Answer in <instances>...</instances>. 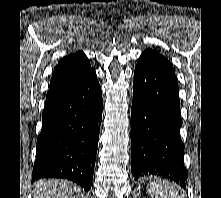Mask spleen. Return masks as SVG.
Here are the masks:
<instances>
[{
  "label": "spleen",
  "mask_w": 221,
  "mask_h": 198,
  "mask_svg": "<svg viewBox=\"0 0 221 198\" xmlns=\"http://www.w3.org/2000/svg\"><path fill=\"white\" fill-rule=\"evenodd\" d=\"M152 198H181L179 192L167 180H155L147 188Z\"/></svg>",
  "instance_id": "obj_1"
}]
</instances>
